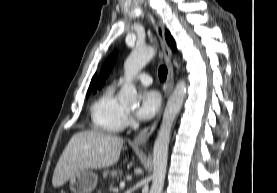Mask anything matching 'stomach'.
Returning <instances> with one entry per match:
<instances>
[{"label":"stomach","mask_w":277,"mask_h":193,"mask_svg":"<svg viewBox=\"0 0 277 193\" xmlns=\"http://www.w3.org/2000/svg\"><path fill=\"white\" fill-rule=\"evenodd\" d=\"M97 181V174L86 170L69 179V188L73 193H91L96 187Z\"/></svg>","instance_id":"stomach-1"}]
</instances>
